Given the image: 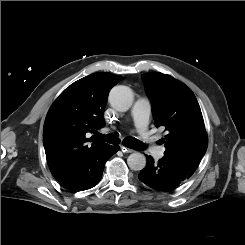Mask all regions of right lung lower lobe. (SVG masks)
<instances>
[{"label": "right lung lower lobe", "mask_w": 245, "mask_h": 245, "mask_svg": "<svg viewBox=\"0 0 245 245\" xmlns=\"http://www.w3.org/2000/svg\"><path fill=\"white\" fill-rule=\"evenodd\" d=\"M119 150V146H108L105 150L89 156L73 166L62 177L56 179L64 188L73 192L96 186L102 177L105 163Z\"/></svg>", "instance_id": "1"}]
</instances>
